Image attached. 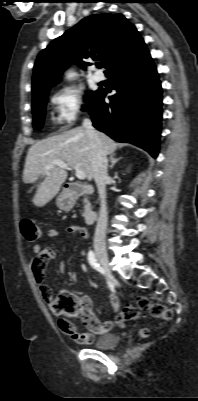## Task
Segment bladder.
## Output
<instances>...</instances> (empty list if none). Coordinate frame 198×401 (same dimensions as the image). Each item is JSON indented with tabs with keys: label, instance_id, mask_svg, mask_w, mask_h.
<instances>
[{
	"label": "bladder",
	"instance_id": "1",
	"mask_svg": "<svg viewBox=\"0 0 198 401\" xmlns=\"http://www.w3.org/2000/svg\"><path fill=\"white\" fill-rule=\"evenodd\" d=\"M116 345L117 337L112 333H103L94 342V347L97 349H113Z\"/></svg>",
	"mask_w": 198,
	"mask_h": 401
}]
</instances>
